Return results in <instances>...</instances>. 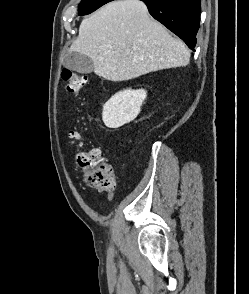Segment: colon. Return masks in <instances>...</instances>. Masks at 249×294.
Instances as JSON below:
<instances>
[{"label": "colon", "instance_id": "colon-1", "mask_svg": "<svg viewBox=\"0 0 249 294\" xmlns=\"http://www.w3.org/2000/svg\"><path fill=\"white\" fill-rule=\"evenodd\" d=\"M62 78L67 82V89L71 94L78 95L87 86V77L69 69H64ZM69 137L73 144L81 147L84 136L77 130H71ZM78 166L84 174V181L88 187L98 191H112L116 186L114 169L101 155L100 150L90 149L76 155Z\"/></svg>", "mask_w": 249, "mask_h": 294}]
</instances>
